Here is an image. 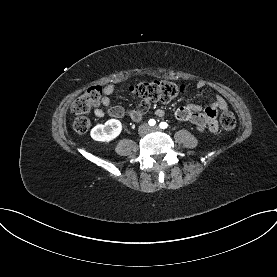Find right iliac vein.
<instances>
[{
	"label": "right iliac vein",
	"mask_w": 277,
	"mask_h": 277,
	"mask_svg": "<svg viewBox=\"0 0 277 277\" xmlns=\"http://www.w3.org/2000/svg\"><path fill=\"white\" fill-rule=\"evenodd\" d=\"M141 133H142V134H145V133H146V127H143V128H142Z\"/></svg>",
	"instance_id": "right-iliac-vein-1"
}]
</instances>
